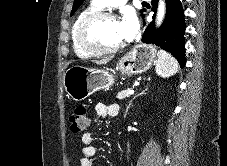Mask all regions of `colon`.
<instances>
[{
	"instance_id": "obj_1",
	"label": "colon",
	"mask_w": 227,
	"mask_h": 166,
	"mask_svg": "<svg viewBox=\"0 0 227 166\" xmlns=\"http://www.w3.org/2000/svg\"><path fill=\"white\" fill-rule=\"evenodd\" d=\"M70 130L75 133L83 132L87 129L89 124L87 109L85 106H77L71 112L70 117Z\"/></svg>"
}]
</instances>
